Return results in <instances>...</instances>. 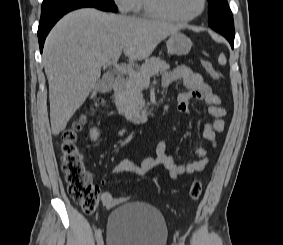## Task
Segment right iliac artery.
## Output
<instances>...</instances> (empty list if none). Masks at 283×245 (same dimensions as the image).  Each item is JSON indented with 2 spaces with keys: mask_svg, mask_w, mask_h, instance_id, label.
I'll return each mask as SVG.
<instances>
[{
  "mask_svg": "<svg viewBox=\"0 0 283 245\" xmlns=\"http://www.w3.org/2000/svg\"><path fill=\"white\" fill-rule=\"evenodd\" d=\"M102 236V232H101V229H97L96 232H95V238L97 241H99V239L101 238Z\"/></svg>",
  "mask_w": 283,
  "mask_h": 245,
  "instance_id": "82829eb1",
  "label": "right iliac artery"
}]
</instances>
